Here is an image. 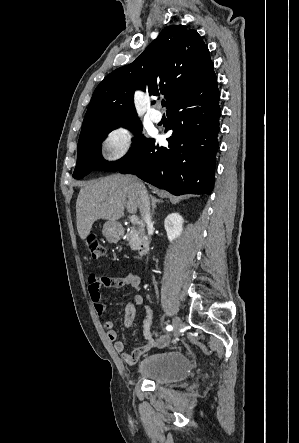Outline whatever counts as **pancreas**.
<instances>
[{"label":"pancreas","mask_w":299,"mask_h":443,"mask_svg":"<svg viewBox=\"0 0 299 443\" xmlns=\"http://www.w3.org/2000/svg\"><path fill=\"white\" fill-rule=\"evenodd\" d=\"M141 230L135 227H132L127 234V240L129 241L130 247L132 250H136L139 247L140 243V235Z\"/></svg>","instance_id":"1"}]
</instances>
